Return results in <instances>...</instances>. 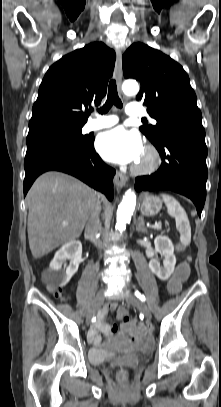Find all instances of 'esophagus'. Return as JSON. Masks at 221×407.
Returning a JSON list of instances; mask_svg holds the SVG:
<instances>
[{
    "mask_svg": "<svg viewBox=\"0 0 221 407\" xmlns=\"http://www.w3.org/2000/svg\"><path fill=\"white\" fill-rule=\"evenodd\" d=\"M122 77H123V70H122V52L120 50L116 51V80H117V85L119 88V92L121 95L122 99H126L125 95L121 92V83H122ZM127 176L119 171H116L115 178H114V184L117 187H124L126 182H127Z\"/></svg>",
    "mask_w": 221,
    "mask_h": 407,
    "instance_id": "1",
    "label": "esophagus"
}]
</instances>
